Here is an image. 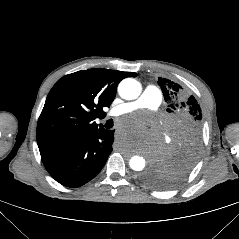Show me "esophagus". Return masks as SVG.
Listing matches in <instances>:
<instances>
[{"label": "esophagus", "mask_w": 239, "mask_h": 239, "mask_svg": "<svg viewBox=\"0 0 239 239\" xmlns=\"http://www.w3.org/2000/svg\"><path fill=\"white\" fill-rule=\"evenodd\" d=\"M112 138H113L114 140H119V139L121 138V133H120L119 131H114V132L112 133Z\"/></svg>", "instance_id": "34e87169"}]
</instances>
